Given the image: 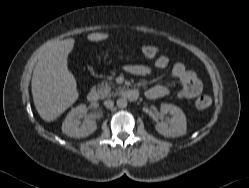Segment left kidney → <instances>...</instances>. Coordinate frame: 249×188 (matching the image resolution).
<instances>
[{
	"label": "left kidney",
	"instance_id": "obj_1",
	"mask_svg": "<svg viewBox=\"0 0 249 188\" xmlns=\"http://www.w3.org/2000/svg\"><path fill=\"white\" fill-rule=\"evenodd\" d=\"M160 110L162 113H170L173 117L166 122H157L155 124L156 131L165 137H179L186 134L187 122L183 111L172 104H161Z\"/></svg>",
	"mask_w": 249,
	"mask_h": 188
}]
</instances>
